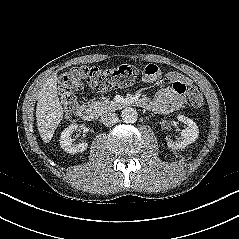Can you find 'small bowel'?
Masks as SVG:
<instances>
[{
  "label": "small bowel",
  "mask_w": 239,
  "mask_h": 239,
  "mask_svg": "<svg viewBox=\"0 0 239 239\" xmlns=\"http://www.w3.org/2000/svg\"><path fill=\"white\" fill-rule=\"evenodd\" d=\"M160 77L161 72L155 64H148L144 68V82L155 83ZM168 79L172 85L160 90L154 99L149 100L150 109L157 113H168L179 109L184 101V86L190 82L187 78L180 77L175 73L168 74Z\"/></svg>",
  "instance_id": "c3829d8e"
}]
</instances>
